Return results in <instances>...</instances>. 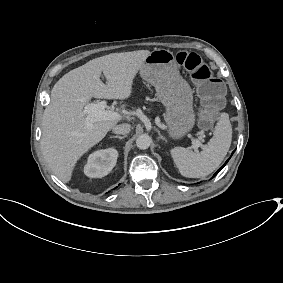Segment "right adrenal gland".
<instances>
[{"mask_svg": "<svg viewBox=\"0 0 283 283\" xmlns=\"http://www.w3.org/2000/svg\"><path fill=\"white\" fill-rule=\"evenodd\" d=\"M126 137H127V135H124V136H119V135L110 136V138H119V139H124Z\"/></svg>", "mask_w": 283, "mask_h": 283, "instance_id": "2a0ac1e0", "label": "right adrenal gland"}]
</instances>
